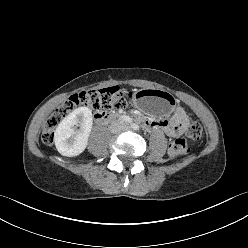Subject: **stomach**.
Listing matches in <instances>:
<instances>
[{"label":"stomach","instance_id":"stomach-1","mask_svg":"<svg viewBox=\"0 0 248 248\" xmlns=\"http://www.w3.org/2000/svg\"><path fill=\"white\" fill-rule=\"evenodd\" d=\"M134 101L138 108L159 117L169 115L175 107V99L171 95L152 88L138 91Z\"/></svg>","mask_w":248,"mask_h":248}]
</instances>
